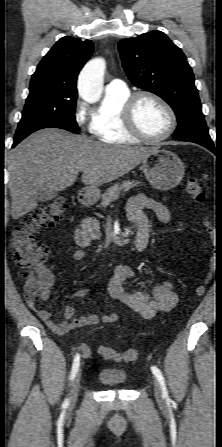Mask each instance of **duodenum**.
<instances>
[{
	"label": "duodenum",
	"instance_id": "obj_1",
	"mask_svg": "<svg viewBox=\"0 0 222 447\" xmlns=\"http://www.w3.org/2000/svg\"><path fill=\"white\" fill-rule=\"evenodd\" d=\"M79 200L82 205H90L93 202V196L87 191H82L79 195ZM74 238L76 243L81 247L89 246L91 239L87 233V231L83 228V226L78 223L74 228Z\"/></svg>",
	"mask_w": 222,
	"mask_h": 447
}]
</instances>
